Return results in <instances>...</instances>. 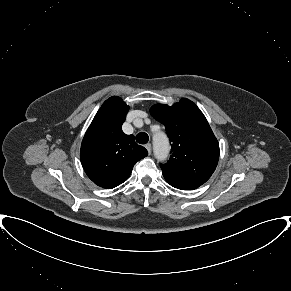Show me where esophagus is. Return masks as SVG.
<instances>
[{
    "mask_svg": "<svg viewBox=\"0 0 291 291\" xmlns=\"http://www.w3.org/2000/svg\"><path fill=\"white\" fill-rule=\"evenodd\" d=\"M145 148L147 149V151H148V153H149V155H150L151 152H152V146H151V144H150V143L146 144V145H145Z\"/></svg>",
    "mask_w": 291,
    "mask_h": 291,
    "instance_id": "34e87169",
    "label": "esophagus"
}]
</instances>
